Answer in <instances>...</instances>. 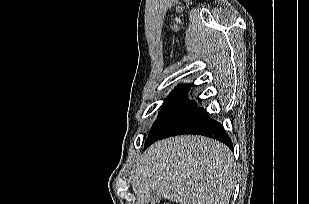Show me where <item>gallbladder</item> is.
I'll return each instance as SVG.
<instances>
[{
    "label": "gallbladder",
    "mask_w": 309,
    "mask_h": 204,
    "mask_svg": "<svg viewBox=\"0 0 309 204\" xmlns=\"http://www.w3.org/2000/svg\"><path fill=\"white\" fill-rule=\"evenodd\" d=\"M149 197L151 201H159L161 198L160 195L154 189H151Z\"/></svg>",
    "instance_id": "bac80fb5"
}]
</instances>
